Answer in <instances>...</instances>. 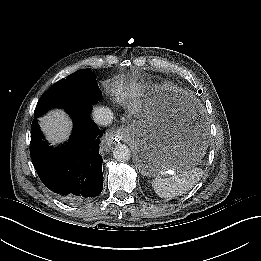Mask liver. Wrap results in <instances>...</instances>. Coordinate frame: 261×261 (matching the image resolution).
<instances>
[{
	"label": "liver",
	"mask_w": 261,
	"mask_h": 261,
	"mask_svg": "<svg viewBox=\"0 0 261 261\" xmlns=\"http://www.w3.org/2000/svg\"><path fill=\"white\" fill-rule=\"evenodd\" d=\"M129 99L127 105L129 113L134 116H139L143 106V102L139 99V94L133 93ZM39 120L47 140L53 145L68 139L72 129V122L63 110L50 111Z\"/></svg>",
	"instance_id": "1"
}]
</instances>
